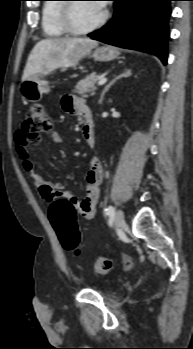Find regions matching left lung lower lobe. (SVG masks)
Returning <instances> with one entry per match:
<instances>
[{"instance_id":"1","label":"left lung lower lobe","mask_w":193,"mask_h":349,"mask_svg":"<svg viewBox=\"0 0 193 349\" xmlns=\"http://www.w3.org/2000/svg\"><path fill=\"white\" fill-rule=\"evenodd\" d=\"M112 21L90 33L114 46L151 52L167 63L168 17L173 0H113Z\"/></svg>"}]
</instances>
